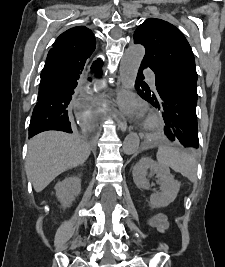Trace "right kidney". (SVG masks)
<instances>
[{
    "label": "right kidney",
    "mask_w": 225,
    "mask_h": 267,
    "mask_svg": "<svg viewBox=\"0 0 225 267\" xmlns=\"http://www.w3.org/2000/svg\"><path fill=\"white\" fill-rule=\"evenodd\" d=\"M56 196L63 208L69 207L81 191L79 176H70L55 185Z\"/></svg>",
    "instance_id": "right-kidney-1"
}]
</instances>
